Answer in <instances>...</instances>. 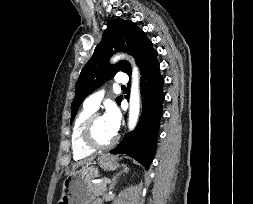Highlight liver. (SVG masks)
I'll return each instance as SVG.
<instances>
[{
    "label": "liver",
    "instance_id": "6515ba94",
    "mask_svg": "<svg viewBox=\"0 0 253 204\" xmlns=\"http://www.w3.org/2000/svg\"><path fill=\"white\" fill-rule=\"evenodd\" d=\"M93 160H94V157H90V158H88V159L79 161V162H77V163H75V164L73 165V170H75V169L78 168L79 166H82V165H85V164H89V163H91Z\"/></svg>",
    "mask_w": 253,
    "mask_h": 204
}]
</instances>
